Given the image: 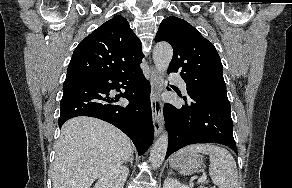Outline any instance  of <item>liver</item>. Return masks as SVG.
Wrapping results in <instances>:
<instances>
[{
  "label": "liver",
  "instance_id": "6515ba94",
  "mask_svg": "<svg viewBox=\"0 0 292 188\" xmlns=\"http://www.w3.org/2000/svg\"><path fill=\"white\" fill-rule=\"evenodd\" d=\"M132 152L130 139L109 123L92 117L72 118L63 124L57 142L53 188H90Z\"/></svg>",
  "mask_w": 292,
  "mask_h": 188
}]
</instances>
